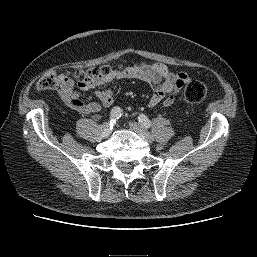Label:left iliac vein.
I'll use <instances>...</instances> for the list:
<instances>
[{"label":"left iliac vein","instance_id":"obj_1","mask_svg":"<svg viewBox=\"0 0 257 257\" xmlns=\"http://www.w3.org/2000/svg\"><path fill=\"white\" fill-rule=\"evenodd\" d=\"M130 127L147 143H152L154 138L143 126L138 123L132 122Z\"/></svg>","mask_w":257,"mask_h":257}]
</instances>
